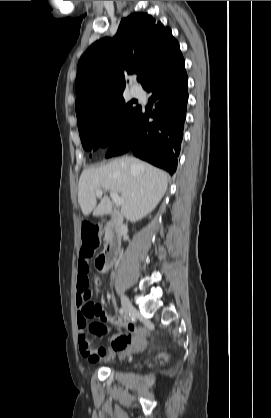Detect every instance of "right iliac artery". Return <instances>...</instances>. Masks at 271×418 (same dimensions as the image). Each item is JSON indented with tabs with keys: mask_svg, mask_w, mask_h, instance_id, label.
I'll return each mask as SVG.
<instances>
[{
	"mask_svg": "<svg viewBox=\"0 0 271 418\" xmlns=\"http://www.w3.org/2000/svg\"><path fill=\"white\" fill-rule=\"evenodd\" d=\"M123 312H124L123 308H120L119 309V314H123Z\"/></svg>",
	"mask_w": 271,
	"mask_h": 418,
	"instance_id": "obj_1",
	"label": "right iliac artery"
}]
</instances>
